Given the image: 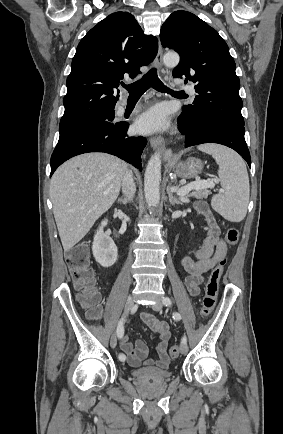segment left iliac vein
I'll list each match as a JSON object with an SVG mask.
<instances>
[{
	"label": "left iliac vein",
	"mask_w": 283,
	"mask_h": 434,
	"mask_svg": "<svg viewBox=\"0 0 283 434\" xmlns=\"http://www.w3.org/2000/svg\"><path fill=\"white\" fill-rule=\"evenodd\" d=\"M151 307L154 311H161L162 310V303L156 302ZM180 352H181V354H186L188 352V346L186 343L181 344Z\"/></svg>",
	"instance_id": "4c4485c4"
}]
</instances>
